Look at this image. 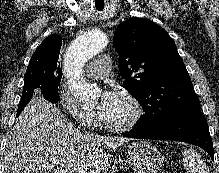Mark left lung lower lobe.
I'll return each instance as SVG.
<instances>
[{"instance_id":"left-lung-lower-lobe-1","label":"left lung lower lobe","mask_w":219,"mask_h":173,"mask_svg":"<svg viewBox=\"0 0 219 173\" xmlns=\"http://www.w3.org/2000/svg\"><path fill=\"white\" fill-rule=\"evenodd\" d=\"M123 136L139 139H160L182 141L203 148L214 159L213 144L206 119L201 110L176 116L155 129H135Z\"/></svg>"}]
</instances>
